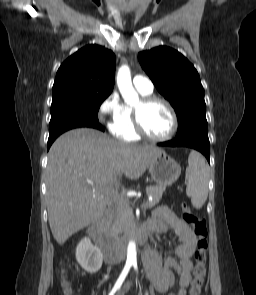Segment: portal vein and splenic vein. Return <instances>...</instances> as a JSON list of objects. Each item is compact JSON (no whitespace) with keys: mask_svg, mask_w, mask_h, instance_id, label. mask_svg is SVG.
I'll return each instance as SVG.
<instances>
[{"mask_svg":"<svg viewBox=\"0 0 256 295\" xmlns=\"http://www.w3.org/2000/svg\"><path fill=\"white\" fill-rule=\"evenodd\" d=\"M144 204H145V203L142 204V207H143V208H146V207L144 206Z\"/></svg>","mask_w":256,"mask_h":295,"instance_id":"1","label":"portal vein and splenic vein"}]
</instances>
